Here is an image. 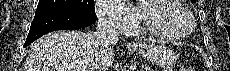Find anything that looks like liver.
Masks as SVG:
<instances>
[{
  "instance_id": "obj_1",
  "label": "liver",
  "mask_w": 230,
  "mask_h": 71,
  "mask_svg": "<svg viewBox=\"0 0 230 71\" xmlns=\"http://www.w3.org/2000/svg\"><path fill=\"white\" fill-rule=\"evenodd\" d=\"M114 56L113 49L97 45L92 34L58 31L33 43L24 71H107Z\"/></svg>"
}]
</instances>
